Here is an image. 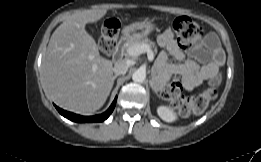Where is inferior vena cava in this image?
I'll return each mask as SVG.
<instances>
[{
	"label": "inferior vena cava",
	"mask_w": 261,
	"mask_h": 162,
	"mask_svg": "<svg viewBox=\"0 0 261 162\" xmlns=\"http://www.w3.org/2000/svg\"><path fill=\"white\" fill-rule=\"evenodd\" d=\"M130 66V63L128 61L125 60H118L115 64H114V68L113 71L115 74L118 75H124L126 74L128 68Z\"/></svg>",
	"instance_id": "inferior-vena-cava-1"
}]
</instances>
